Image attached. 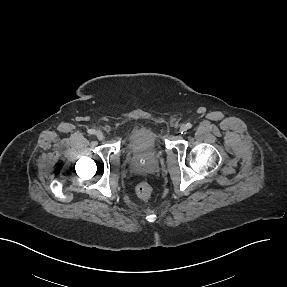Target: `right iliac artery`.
Instances as JSON below:
<instances>
[{"mask_svg": "<svg viewBox=\"0 0 287 287\" xmlns=\"http://www.w3.org/2000/svg\"><path fill=\"white\" fill-rule=\"evenodd\" d=\"M88 133H89V134H95L96 131H95L94 129H90V130H88Z\"/></svg>", "mask_w": 287, "mask_h": 287, "instance_id": "82829eb1", "label": "right iliac artery"}]
</instances>
